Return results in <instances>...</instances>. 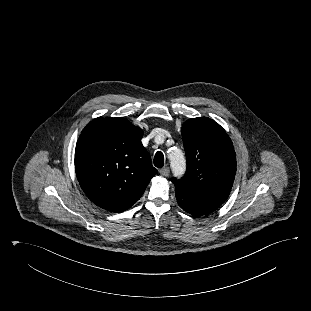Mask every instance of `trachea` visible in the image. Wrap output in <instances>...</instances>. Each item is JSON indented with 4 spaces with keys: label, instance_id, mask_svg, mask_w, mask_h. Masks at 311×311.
Segmentation results:
<instances>
[{
    "label": "trachea",
    "instance_id": "1",
    "mask_svg": "<svg viewBox=\"0 0 311 311\" xmlns=\"http://www.w3.org/2000/svg\"><path fill=\"white\" fill-rule=\"evenodd\" d=\"M153 162L157 168H162L164 166V155L161 151L156 152Z\"/></svg>",
    "mask_w": 311,
    "mask_h": 311
}]
</instances>
